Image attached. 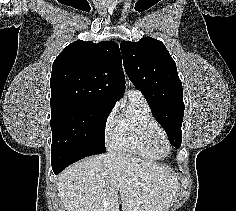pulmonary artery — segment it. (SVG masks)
<instances>
[{
  "label": "pulmonary artery",
  "instance_id": "1",
  "mask_svg": "<svg viewBox=\"0 0 236 211\" xmlns=\"http://www.w3.org/2000/svg\"><path fill=\"white\" fill-rule=\"evenodd\" d=\"M134 94H140V92H138L136 90H132L128 93V95H134Z\"/></svg>",
  "mask_w": 236,
  "mask_h": 211
}]
</instances>
